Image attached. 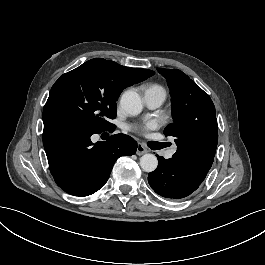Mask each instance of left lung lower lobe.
Returning a JSON list of instances; mask_svg holds the SVG:
<instances>
[{
  "label": "left lung lower lobe",
  "mask_w": 265,
  "mask_h": 265,
  "mask_svg": "<svg viewBox=\"0 0 265 265\" xmlns=\"http://www.w3.org/2000/svg\"><path fill=\"white\" fill-rule=\"evenodd\" d=\"M157 157L159 165L154 172L149 173L148 182L151 188L162 197L185 198L198 189L205 179L179 160Z\"/></svg>",
  "instance_id": "0a47b994"
}]
</instances>
